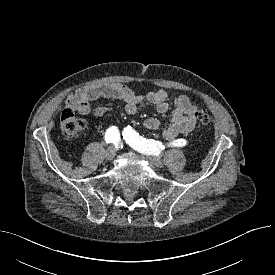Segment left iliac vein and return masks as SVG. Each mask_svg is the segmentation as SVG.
<instances>
[{
  "label": "left iliac vein",
  "mask_w": 275,
  "mask_h": 275,
  "mask_svg": "<svg viewBox=\"0 0 275 275\" xmlns=\"http://www.w3.org/2000/svg\"><path fill=\"white\" fill-rule=\"evenodd\" d=\"M149 161L157 168H162L163 167V161L160 157L158 156H149Z\"/></svg>",
  "instance_id": "4c4485c4"
}]
</instances>
